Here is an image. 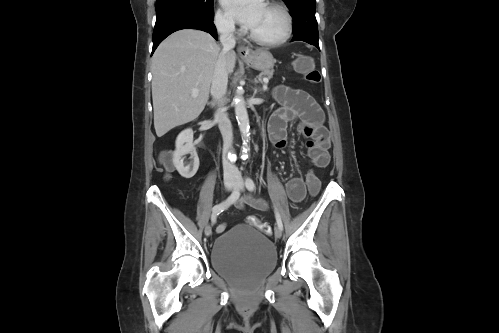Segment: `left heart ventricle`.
Returning <instances> with one entry per match:
<instances>
[{
    "instance_id": "b2bd125f",
    "label": "left heart ventricle",
    "mask_w": 499,
    "mask_h": 333,
    "mask_svg": "<svg viewBox=\"0 0 499 333\" xmlns=\"http://www.w3.org/2000/svg\"><path fill=\"white\" fill-rule=\"evenodd\" d=\"M250 30L264 40L278 39L285 30L284 16L278 9L265 6Z\"/></svg>"
}]
</instances>
